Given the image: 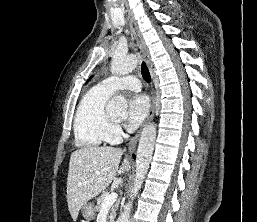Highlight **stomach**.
I'll return each instance as SVG.
<instances>
[{"instance_id": "stomach-1", "label": "stomach", "mask_w": 257, "mask_h": 222, "mask_svg": "<svg viewBox=\"0 0 257 222\" xmlns=\"http://www.w3.org/2000/svg\"><path fill=\"white\" fill-rule=\"evenodd\" d=\"M81 213L86 220H93L95 218L96 213V209L93 203L86 202L84 205H82Z\"/></svg>"}]
</instances>
